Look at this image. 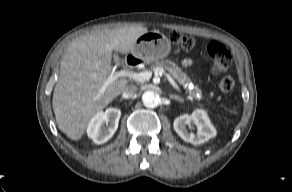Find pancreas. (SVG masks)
Segmentation results:
<instances>
[{"label":"pancreas","instance_id":"1","mask_svg":"<svg viewBox=\"0 0 292 192\" xmlns=\"http://www.w3.org/2000/svg\"><path fill=\"white\" fill-rule=\"evenodd\" d=\"M157 67H162L167 70L170 75H172V77L186 89L191 97L196 98L197 96L201 95V90L197 86L189 88V84L191 83L190 78L187 77L186 73H184L182 69L179 68L174 62L170 60L155 61L152 64L151 69L154 70Z\"/></svg>","mask_w":292,"mask_h":192}]
</instances>
